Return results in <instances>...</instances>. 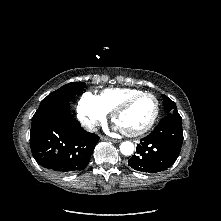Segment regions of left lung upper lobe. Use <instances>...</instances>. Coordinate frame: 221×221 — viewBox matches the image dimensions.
Masks as SVG:
<instances>
[{
    "instance_id": "1",
    "label": "left lung upper lobe",
    "mask_w": 221,
    "mask_h": 221,
    "mask_svg": "<svg viewBox=\"0 0 221 221\" xmlns=\"http://www.w3.org/2000/svg\"><path fill=\"white\" fill-rule=\"evenodd\" d=\"M163 100H164L165 111H166L167 115L178 113L176 104L170 98L163 95Z\"/></svg>"
}]
</instances>
